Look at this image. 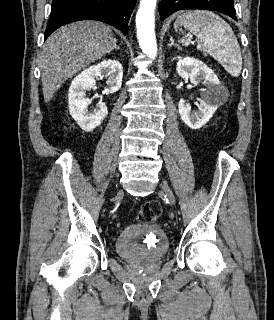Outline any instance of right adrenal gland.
Here are the masks:
<instances>
[{
    "mask_svg": "<svg viewBox=\"0 0 274 320\" xmlns=\"http://www.w3.org/2000/svg\"><path fill=\"white\" fill-rule=\"evenodd\" d=\"M114 40H116V38H114ZM113 50H120L119 46H116V42H114V46H113L111 52H113ZM108 54H110V52H108Z\"/></svg>",
    "mask_w": 274,
    "mask_h": 320,
    "instance_id": "obj_1",
    "label": "right adrenal gland"
}]
</instances>
